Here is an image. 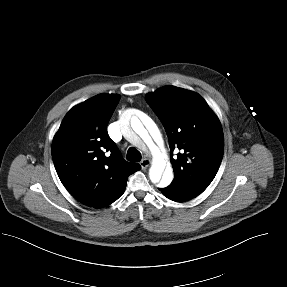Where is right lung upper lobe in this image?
Returning <instances> with one entry per match:
<instances>
[{
	"instance_id": "right-lung-upper-lobe-1",
	"label": "right lung upper lobe",
	"mask_w": 287,
	"mask_h": 287,
	"mask_svg": "<svg viewBox=\"0 0 287 287\" xmlns=\"http://www.w3.org/2000/svg\"><path fill=\"white\" fill-rule=\"evenodd\" d=\"M120 100L98 94L64 117L52 143V158L65 188L82 204L101 208L125 191L130 174L141 169L122 159L107 132V124Z\"/></svg>"
}]
</instances>
